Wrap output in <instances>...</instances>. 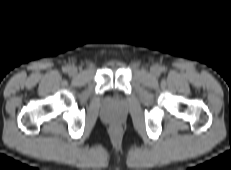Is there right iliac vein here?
I'll return each instance as SVG.
<instances>
[{
    "instance_id": "obj_1",
    "label": "right iliac vein",
    "mask_w": 231,
    "mask_h": 170,
    "mask_svg": "<svg viewBox=\"0 0 231 170\" xmlns=\"http://www.w3.org/2000/svg\"><path fill=\"white\" fill-rule=\"evenodd\" d=\"M77 72H78V70H77V67H75V66H70V67L68 68V73H69L70 75H76Z\"/></svg>"
}]
</instances>
